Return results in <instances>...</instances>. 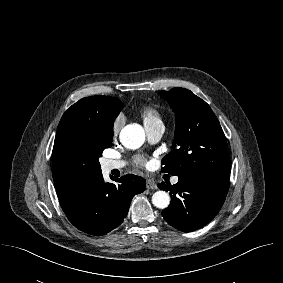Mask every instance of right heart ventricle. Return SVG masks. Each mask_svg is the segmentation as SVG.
Masks as SVG:
<instances>
[{
  "instance_id": "e07e8e85",
  "label": "right heart ventricle",
  "mask_w": 283,
  "mask_h": 283,
  "mask_svg": "<svg viewBox=\"0 0 283 283\" xmlns=\"http://www.w3.org/2000/svg\"><path fill=\"white\" fill-rule=\"evenodd\" d=\"M140 116L145 126L162 124L161 113L154 106H145L140 110Z\"/></svg>"
}]
</instances>
